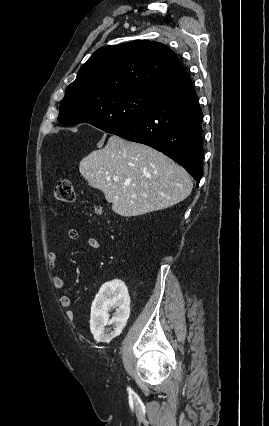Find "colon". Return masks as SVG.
<instances>
[{
  "mask_svg": "<svg viewBox=\"0 0 269 426\" xmlns=\"http://www.w3.org/2000/svg\"><path fill=\"white\" fill-rule=\"evenodd\" d=\"M54 195L55 198L60 202H72L74 200L75 194L71 181L67 179L60 180L55 187ZM94 214L96 216H100L102 214L101 209L95 208Z\"/></svg>",
  "mask_w": 269,
  "mask_h": 426,
  "instance_id": "5ec220e1",
  "label": "colon"
}]
</instances>
